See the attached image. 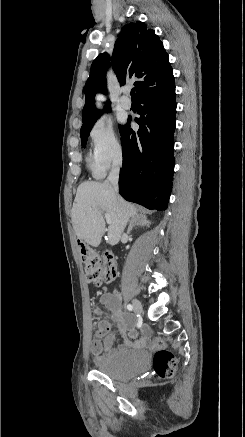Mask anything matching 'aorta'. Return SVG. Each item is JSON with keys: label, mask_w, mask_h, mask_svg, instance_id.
<instances>
[{"label": "aorta", "mask_w": 245, "mask_h": 437, "mask_svg": "<svg viewBox=\"0 0 245 437\" xmlns=\"http://www.w3.org/2000/svg\"><path fill=\"white\" fill-rule=\"evenodd\" d=\"M97 100H98V101L102 100V97H101V96L97 97ZM98 104H99V103H98Z\"/></svg>", "instance_id": "obj_1"}]
</instances>
